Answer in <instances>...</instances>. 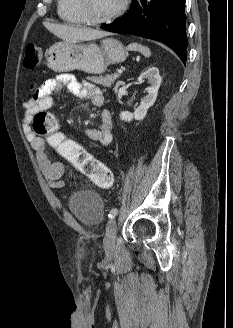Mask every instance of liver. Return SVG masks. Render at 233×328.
Wrapping results in <instances>:
<instances>
[{"instance_id": "liver-1", "label": "liver", "mask_w": 233, "mask_h": 328, "mask_svg": "<svg viewBox=\"0 0 233 328\" xmlns=\"http://www.w3.org/2000/svg\"><path fill=\"white\" fill-rule=\"evenodd\" d=\"M44 26L52 34L65 42L89 41L105 36V32L87 27L61 25L45 22Z\"/></svg>"}]
</instances>
